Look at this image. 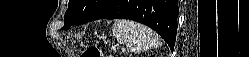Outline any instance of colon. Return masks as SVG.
Listing matches in <instances>:
<instances>
[{
  "label": "colon",
  "mask_w": 249,
  "mask_h": 57,
  "mask_svg": "<svg viewBox=\"0 0 249 57\" xmlns=\"http://www.w3.org/2000/svg\"><path fill=\"white\" fill-rule=\"evenodd\" d=\"M82 57H104V55L100 49L89 47L83 52Z\"/></svg>",
  "instance_id": "1"
}]
</instances>
